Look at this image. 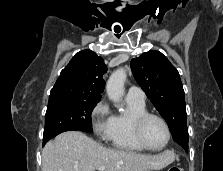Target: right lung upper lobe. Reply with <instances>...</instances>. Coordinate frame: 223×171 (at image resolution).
Segmentation results:
<instances>
[{"label":"right lung upper lobe","instance_id":"cb5924a9","mask_svg":"<svg viewBox=\"0 0 223 171\" xmlns=\"http://www.w3.org/2000/svg\"><path fill=\"white\" fill-rule=\"evenodd\" d=\"M107 72L104 60L91 50L78 52L61 71L49 100L83 98L101 100L105 87L103 75Z\"/></svg>","mask_w":223,"mask_h":171}]
</instances>
